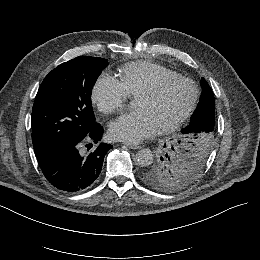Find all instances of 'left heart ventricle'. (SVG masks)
Instances as JSON below:
<instances>
[{
	"instance_id": "1",
	"label": "left heart ventricle",
	"mask_w": 260,
	"mask_h": 260,
	"mask_svg": "<svg viewBox=\"0 0 260 260\" xmlns=\"http://www.w3.org/2000/svg\"><path fill=\"white\" fill-rule=\"evenodd\" d=\"M155 78L152 85L158 82ZM193 96L191 86L183 81L168 83L154 96L142 95L134 100V107L145 109L152 118L156 127L171 122L180 116L188 107Z\"/></svg>"
}]
</instances>
